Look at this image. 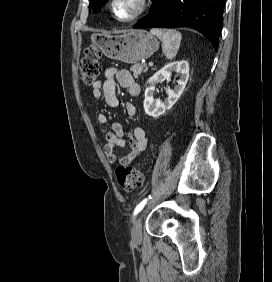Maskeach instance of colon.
<instances>
[{"instance_id":"obj_1","label":"colon","mask_w":272,"mask_h":282,"mask_svg":"<svg viewBox=\"0 0 272 282\" xmlns=\"http://www.w3.org/2000/svg\"><path fill=\"white\" fill-rule=\"evenodd\" d=\"M101 52L96 43L91 44L84 51L80 60L82 81L86 86H93L100 73ZM118 183L125 192L139 189L144 182V174L139 168L119 166L116 169Z\"/></svg>"}]
</instances>
